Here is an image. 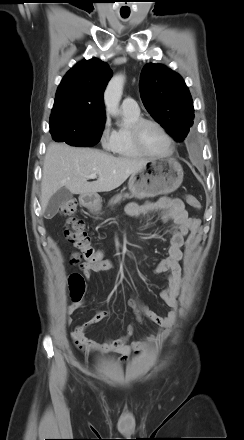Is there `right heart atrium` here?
Masks as SVG:
<instances>
[{"label": "right heart atrium", "mask_w": 244, "mask_h": 440, "mask_svg": "<svg viewBox=\"0 0 244 440\" xmlns=\"http://www.w3.org/2000/svg\"><path fill=\"white\" fill-rule=\"evenodd\" d=\"M114 130L111 128L110 121L106 119L100 133V143L103 148L110 149L113 142Z\"/></svg>", "instance_id": "obj_1"}]
</instances>
